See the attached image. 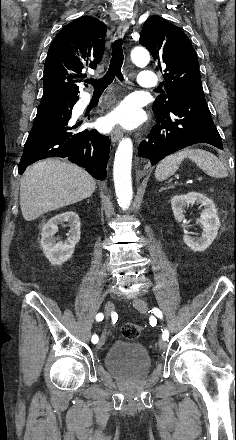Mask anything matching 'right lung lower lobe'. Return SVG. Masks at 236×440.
<instances>
[{
  "instance_id": "1",
  "label": "right lung lower lobe",
  "mask_w": 236,
  "mask_h": 440,
  "mask_svg": "<svg viewBox=\"0 0 236 440\" xmlns=\"http://www.w3.org/2000/svg\"><path fill=\"white\" fill-rule=\"evenodd\" d=\"M77 101L39 105L19 163L20 173L38 160L61 157L86 168L94 178L105 179L109 138L80 128L72 116Z\"/></svg>"
}]
</instances>
